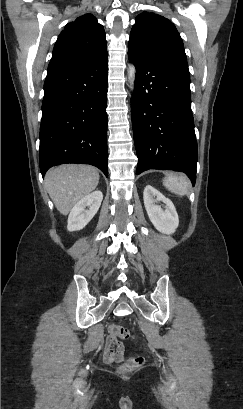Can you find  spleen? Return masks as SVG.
<instances>
[{"label":"spleen","mask_w":243,"mask_h":409,"mask_svg":"<svg viewBox=\"0 0 243 409\" xmlns=\"http://www.w3.org/2000/svg\"><path fill=\"white\" fill-rule=\"evenodd\" d=\"M163 184L169 191L180 196L186 195L190 186L189 180L183 175H168Z\"/></svg>","instance_id":"spleen-1"}]
</instances>
